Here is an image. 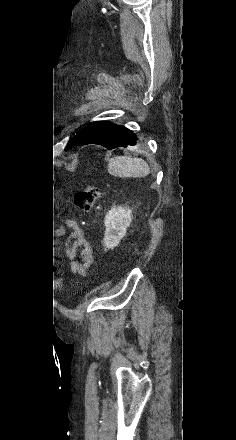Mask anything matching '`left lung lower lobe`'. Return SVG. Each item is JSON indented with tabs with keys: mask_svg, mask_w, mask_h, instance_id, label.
<instances>
[{
	"mask_svg": "<svg viewBox=\"0 0 236 440\" xmlns=\"http://www.w3.org/2000/svg\"><path fill=\"white\" fill-rule=\"evenodd\" d=\"M137 137L124 126H118L108 121L92 122L77 133L67 144V149L73 146L98 144L107 149L136 145Z\"/></svg>",
	"mask_w": 236,
	"mask_h": 440,
	"instance_id": "obj_1",
	"label": "left lung lower lobe"
}]
</instances>
